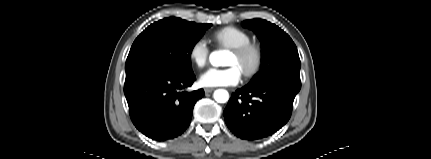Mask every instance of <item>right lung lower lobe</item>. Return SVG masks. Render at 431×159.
<instances>
[{
	"instance_id": "obj_1",
	"label": "right lung lower lobe",
	"mask_w": 431,
	"mask_h": 159,
	"mask_svg": "<svg viewBox=\"0 0 431 159\" xmlns=\"http://www.w3.org/2000/svg\"><path fill=\"white\" fill-rule=\"evenodd\" d=\"M184 74L152 65L126 74L124 94L135 127L147 137L165 141L181 135L189 126L195 103L203 89L182 91L195 81Z\"/></svg>"
}]
</instances>
